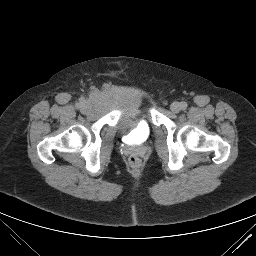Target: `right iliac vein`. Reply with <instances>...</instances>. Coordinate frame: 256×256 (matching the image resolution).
<instances>
[{"instance_id":"63e3f726","label":"right iliac vein","mask_w":256,"mask_h":256,"mask_svg":"<svg viewBox=\"0 0 256 256\" xmlns=\"http://www.w3.org/2000/svg\"><path fill=\"white\" fill-rule=\"evenodd\" d=\"M90 110V106L88 104V102H83L82 105H81V111L83 113H86Z\"/></svg>"}]
</instances>
